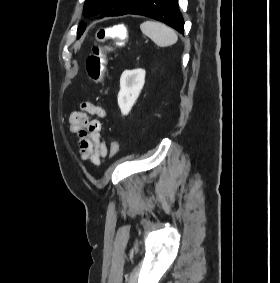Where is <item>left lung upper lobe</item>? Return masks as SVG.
Returning <instances> with one entry per match:
<instances>
[{"label": "left lung upper lobe", "mask_w": 280, "mask_h": 283, "mask_svg": "<svg viewBox=\"0 0 280 283\" xmlns=\"http://www.w3.org/2000/svg\"><path fill=\"white\" fill-rule=\"evenodd\" d=\"M144 0H86L83 9L85 17L101 14L104 16H120L128 14L131 10L141 4ZM85 27L80 24L78 28V38L83 33Z\"/></svg>", "instance_id": "left-lung-upper-lobe-1"}]
</instances>
